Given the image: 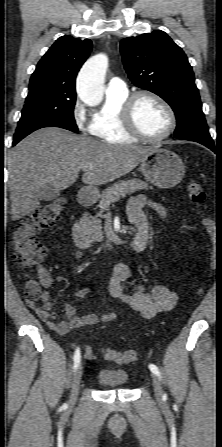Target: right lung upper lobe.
I'll use <instances>...</instances> for the list:
<instances>
[{
    "mask_svg": "<svg viewBox=\"0 0 222 447\" xmlns=\"http://www.w3.org/2000/svg\"><path fill=\"white\" fill-rule=\"evenodd\" d=\"M91 50L89 39L80 40L68 35L58 38L37 64L29 88L47 85L55 92L76 96V76Z\"/></svg>",
    "mask_w": 222,
    "mask_h": 447,
    "instance_id": "right-lung-upper-lobe-1",
    "label": "right lung upper lobe"
}]
</instances>
